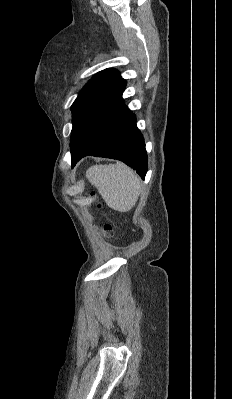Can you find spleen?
<instances>
[{
    "label": "spleen",
    "mask_w": 232,
    "mask_h": 399,
    "mask_svg": "<svg viewBox=\"0 0 232 399\" xmlns=\"http://www.w3.org/2000/svg\"><path fill=\"white\" fill-rule=\"evenodd\" d=\"M86 178L97 188L107 205L117 211H130L141 192L139 176L122 162L109 166H91L86 172Z\"/></svg>",
    "instance_id": "spleen-1"
}]
</instances>
